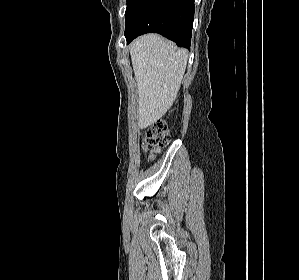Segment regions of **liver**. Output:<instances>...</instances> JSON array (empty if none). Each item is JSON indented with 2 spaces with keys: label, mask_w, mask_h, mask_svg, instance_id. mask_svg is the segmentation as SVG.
Here are the masks:
<instances>
[{
  "label": "liver",
  "mask_w": 299,
  "mask_h": 280,
  "mask_svg": "<svg viewBox=\"0 0 299 280\" xmlns=\"http://www.w3.org/2000/svg\"><path fill=\"white\" fill-rule=\"evenodd\" d=\"M130 55L138 88V126L144 129L172 106L185 73L188 52L151 33L132 42Z\"/></svg>",
  "instance_id": "obj_1"
}]
</instances>
